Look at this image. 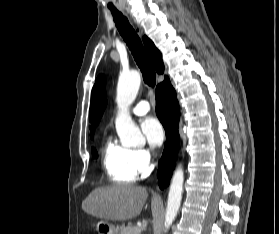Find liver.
Masks as SVG:
<instances>
[{"label":"liver","mask_w":279,"mask_h":234,"mask_svg":"<svg viewBox=\"0 0 279 234\" xmlns=\"http://www.w3.org/2000/svg\"><path fill=\"white\" fill-rule=\"evenodd\" d=\"M148 197L145 187L113 185L93 190L82 203V209L96 218L124 221L140 214Z\"/></svg>","instance_id":"1"}]
</instances>
